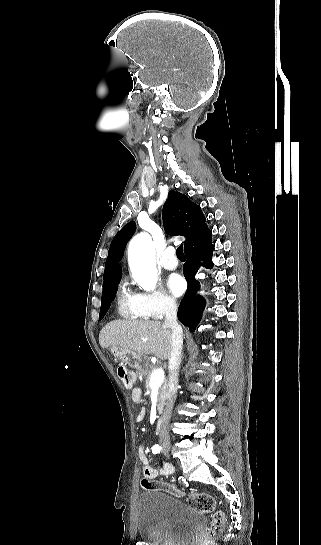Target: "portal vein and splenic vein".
<instances>
[{"label": "portal vein and splenic vein", "instance_id": "18ae733b", "mask_svg": "<svg viewBox=\"0 0 321 545\" xmlns=\"http://www.w3.org/2000/svg\"><path fill=\"white\" fill-rule=\"evenodd\" d=\"M165 373L163 369H155L150 377V387H160L164 381Z\"/></svg>", "mask_w": 321, "mask_h": 545}]
</instances>
